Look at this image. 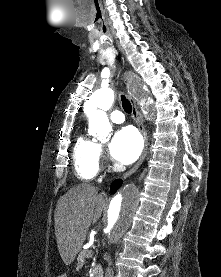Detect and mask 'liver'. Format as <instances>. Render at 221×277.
<instances>
[{
	"label": "liver",
	"instance_id": "1",
	"mask_svg": "<svg viewBox=\"0 0 221 277\" xmlns=\"http://www.w3.org/2000/svg\"><path fill=\"white\" fill-rule=\"evenodd\" d=\"M104 194L90 184H80L59 198L54 216L59 254L71 264L81 250L89 227L104 209Z\"/></svg>",
	"mask_w": 221,
	"mask_h": 277
}]
</instances>
